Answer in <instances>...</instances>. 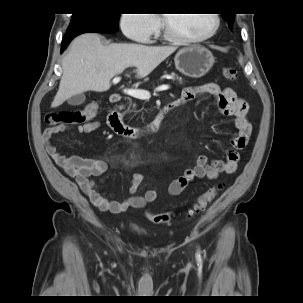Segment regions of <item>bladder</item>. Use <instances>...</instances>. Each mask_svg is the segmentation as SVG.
<instances>
[{"label": "bladder", "instance_id": "31cf9c89", "mask_svg": "<svg viewBox=\"0 0 303 303\" xmlns=\"http://www.w3.org/2000/svg\"><path fill=\"white\" fill-rule=\"evenodd\" d=\"M133 228H134V229H138V226L135 225Z\"/></svg>", "mask_w": 303, "mask_h": 303}]
</instances>
